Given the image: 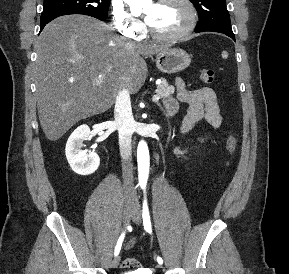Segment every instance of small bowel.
Masks as SVG:
<instances>
[{
    "instance_id": "small-bowel-1",
    "label": "small bowel",
    "mask_w": 289,
    "mask_h": 274,
    "mask_svg": "<svg viewBox=\"0 0 289 274\" xmlns=\"http://www.w3.org/2000/svg\"><path fill=\"white\" fill-rule=\"evenodd\" d=\"M176 87L178 99L188 105L187 115L180 126L182 134L188 132L198 121L204 119L214 130L221 127L223 124V116L221 114L217 96L209 87H200L190 90L186 87L184 81L180 78L176 79ZM178 108V102L174 98L165 100V109L167 115H173ZM204 138H199L202 142ZM179 157H183L184 152L180 149L176 150ZM135 240L130 239L126 248L133 247Z\"/></svg>"
}]
</instances>
